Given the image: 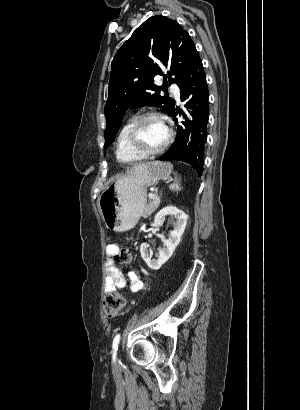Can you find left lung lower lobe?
<instances>
[{"instance_id": "obj_1", "label": "left lung lower lobe", "mask_w": 300, "mask_h": 410, "mask_svg": "<svg viewBox=\"0 0 300 410\" xmlns=\"http://www.w3.org/2000/svg\"><path fill=\"white\" fill-rule=\"evenodd\" d=\"M181 100L186 101L187 115L173 110L171 116L176 120L182 114L184 128L178 126L177 137L171 148L162 155L160 161L179 160L193 166L199 176L203 171V156L207 139L209 118L208 87L202 61L197 54L192 64L178 83Z\"/></svg>"}]
</instances>
